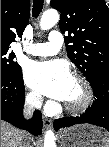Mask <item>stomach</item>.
Listing matches in <instances>:
<instances>
[{
	"label": "stomach",
	"instance_id": "1",
	"mask_svg": "<svg viewBox=\"0 0 109 147\" xmlns=\"http://www.w3.org/2000/svg\"><path fill=\"white\" fill-rule=\"evenodd\" d=\"M63 147H108V134L99 127L79 124L60 133Z\"/></svg>",
	"mask_w": 109,
	"mask_h": 147
}]
</instances>
